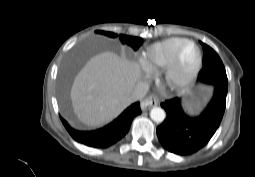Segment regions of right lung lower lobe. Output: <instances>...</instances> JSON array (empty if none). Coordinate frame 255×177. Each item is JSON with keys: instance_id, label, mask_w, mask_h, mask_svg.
Listing matches in <instances>:
<instances>
[{"instance_id": "98d812e1", "label": "right lung lower lobe", "mask_w": 255, "mask_h": 177, "mask_svg": "<svg viewBox=\"0 0 255 177\" xmlns=\"http://www.w3.org/2000/svg\"><path fill=\"white\" fill-rule=\"evenodd\" d=\"M139 114H141L140 103H133L113 122L95 131H79L70 127L62 117L61 120L69 134L77 142L89 147L107 148L126 135L132 120Z\"/></svg>"}]
</instances>
